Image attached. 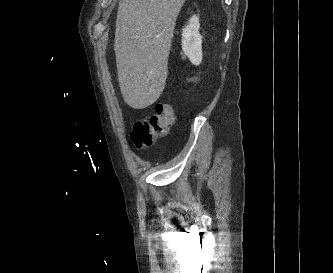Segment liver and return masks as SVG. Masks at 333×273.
<instances>
[{
	"label": "liver",
	"mask_w": 333,
	"mask_h": 273,
	"mask_svg": "<svg viewBox=\"0 0 333 273\" xmlns=\"http://www.w3.org/2000/svg\"><path fill=\"white\" fill-rule=\"evenodd\" d=\"M185 0H121L114 50L124 101L144 109L161 96L176 19Z\"/></svg>",
	"instance_id": "6515ba94"
}]
</instances>
